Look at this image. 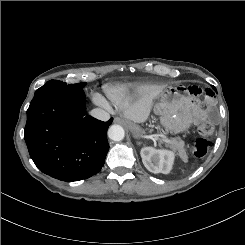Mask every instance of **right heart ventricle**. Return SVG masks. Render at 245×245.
Instances as JSON below:
<instances>
[{"label": "right heart ventricle", "instance_id": "right-heart-ventricle-1", "mask_svg": "<svg viewBox=\"0 0 245 245\" xmlns=\"http://www.w3.org/2000/svg\"><path fill=\"white\" fill-rule=\"evenodd\" d=\"M139 91L134 85H118L106 90L109 100L116 106H121L131 100Z\"/></svg>", "mask_w": 245, "mask_h": 245}]
</instances>
